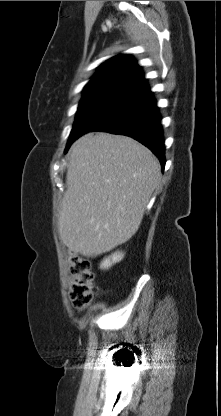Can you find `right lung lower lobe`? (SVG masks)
I'll return each mask as SVG.
<instances>
[{
	"label": "right lung lower lobe",
	"mask_w": 221,
	"mask_h": 416,
	"mask_svg": "<svg viewBox=\"0 0 221 416\" xmlns=\"http://www.w3.org/2000/svg\"><path fill=\"white\" fill-rule=\"evenodd\" d=\"M92 131L136 139L158 157L164 169L166 160L161 117L150 89L126 97Z\"/></svg>",
	"instance_id": "right-lung-lower-lobe-1"
}]
</instances>
